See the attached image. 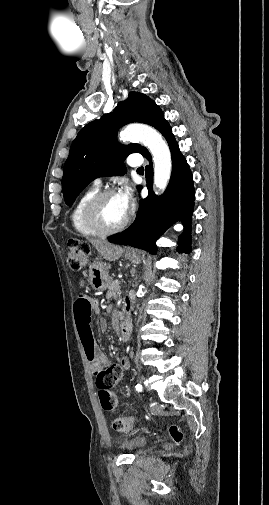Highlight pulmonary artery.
<instances>
[{"mask_svg": "<svg viewBox=\"0 0 269 505\" xmlns=\"http://www.w3.org/2000/svg\"><path fill=\"white\" fill-rule=\"evenodd\" d=\"M127 163H128V165H130V166H132V167H139V166H141V164H142V159H141V157H140L139 155H137V154H132V155H130V156L128 157V159H127ZM101 183H102L101 178H96V179H95V181H94V184H95L96 186L101 185Z\"/></svg>", "mask_w": 269, "mask_h": 505, "instance_id": "pulmonary-artery-1", "label": "pulmonary artery"}]
</instances>
